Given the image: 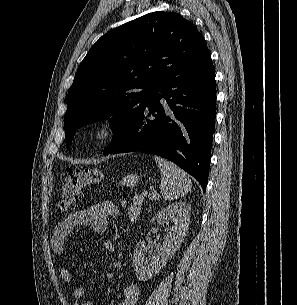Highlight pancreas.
Wrapping results in <instances>:
<instances>
[{"instance_id": "pancreas-1", "label": "pancreas", "mask_w": 297, "mask_h": 305, "mask_svg": "<svg viewBox=\"0 0 297 305\" xmlns=\"http://www.w3.org/2000/svg\"><path fill=\"white\" fill-rule=\"evenodd\" d=\"M143 203V197L141 195H135L133 197V202L128 208V215L132 221H136L141 210Z\"/></svg>"}]
</instances>
